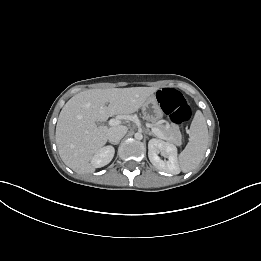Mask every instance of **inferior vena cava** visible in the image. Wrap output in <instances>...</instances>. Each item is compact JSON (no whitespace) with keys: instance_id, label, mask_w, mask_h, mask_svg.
I'll return each instance as SVG.
<instances>
[{"instance_id":"602c4592","label":"inferior vena cava","mask_w":261,"mask_h":261,"mask_svg":"<svg viewBox=\"0 0 261 261\" xmlns=\"http://www.w3.org/2000/svg\"><path fill=\"white\" fill-rule=\"evenodd\" d=\"M127 133L126 126L111 127L108 130L107 138L111 143H118Z\"/></svg>"}]
</instances>
